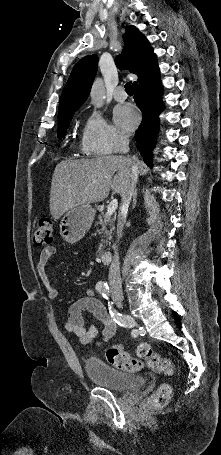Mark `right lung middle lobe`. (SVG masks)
I'll use <instances>...</instances> for the list:
<instances>
[{
	"label": "right lung middle lobe",
	"mask_w": 221,
	"mask_h": 455,
	"mask_svg": "<svg viewBox=\"0 0 221 455\" xmlns=\"http://www.w3.org/2000/svg\"><path fill=\"white\" fill-rule=\"evenodd\" d=\"M73 115H74L73 111L58 114V138L61 139L65 136L66 130L70 124Z\"/></svg>",
	"instance_id": "obj_1"
}]
</instances>
